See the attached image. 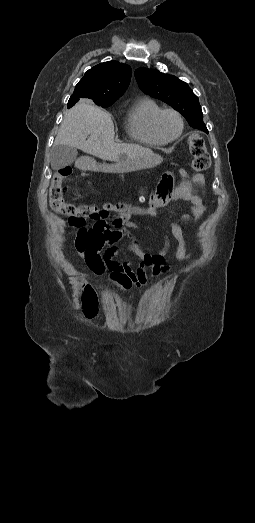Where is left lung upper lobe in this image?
Returning <instances> with one entry per match:
<instances>
[{"mask_svg":"<svg viewBox=\"0 0 255 523\" xmlns=\"http://www.w3.org/2000/svg\"><path fill=\"white\" fill-rule=\"evenodd\" d=\"M135 77L144 93L169 104L186 118L191 127L208 133L198 98L187 83L175 76L147 68L137 69Z\"/></svg>","mask_w":255,"mask_h":523,"instance_id":"1","label":"left lung upper lobe"}]
</instances>
